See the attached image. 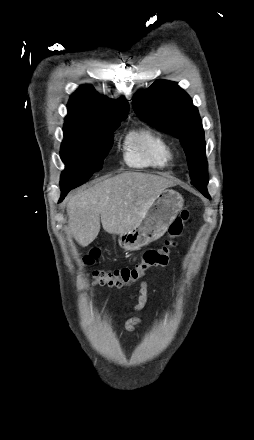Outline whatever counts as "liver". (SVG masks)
I'll use <instances>...</instances> for the list:
<instances>
[{"label": "liver", "mask_w": 254, "mask_h": 440, "mask_svg": "<svg viewBox=\"0 0 254 440\" xmlns=\"http://www.w3.org/2000/svg\"><path fill=\"white\" fill-rule=\"evenodd\" d=\"M174 183L164 177L141 172H124L71 197L67 202L69 230L83 247L103 229L120 235L133 229L145 217L157 195Z\"/></svg>", "instance_id": "liver-1"}]
</instances>
